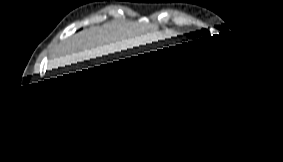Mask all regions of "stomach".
<instances>
[{"label": "stomach", "instance_id": "stomach-1", "mask_svg": "<svg viewBox=\"0 0 283 162\" xmlns=\"http://www.w3.org/2000/svg\"><path fill=\"white\" fill-rule=\"evenodd\" d=\"M156 32H159L158 28ZM171 40L167 48L184 44L179 39ZM161 82L167 86L168 98L174 104L189 108L198 106L206 97L209 83L204 57L196 50L168 57Z\"/></svg>", "mask_w": 283, "mask_h": 162}]
</instances>
